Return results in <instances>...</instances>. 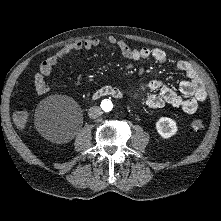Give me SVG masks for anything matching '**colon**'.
I'll use <instances>...</instances> for the list:
<instances>
[{
	"label": "colon",
	"instance_id": "1",
	"mask_svg": "<svg viewBox=\"0 0 221 221\" xmlns=\"http://www.w3.org/2000/svg\"><path fill=\"white\" fill-rule=\"evenodd\" d=\"M14 122L18 128L24 129L28 123V113L25 111H18L14 114ZM190 128L194 132H201L204 129L203 121L200 119L193 120Z\"/></svg>",
	"mask_w": 221,
	"mask_h": 221
}]
</instances>
